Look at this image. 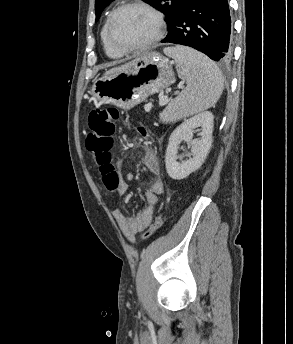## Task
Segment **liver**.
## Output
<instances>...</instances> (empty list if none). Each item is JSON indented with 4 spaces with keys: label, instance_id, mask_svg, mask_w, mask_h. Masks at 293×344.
Returning a JSON list of instances; mask_svg holds the SVG:
<instances>
[{
    "label": "liver",
    "instance_id": "liver-1",
    "mask_svg": "<svg viewBox=\"0 0 293 344\" xmlns=\"http://www.w3.org/2000/svg\"><path fill=\"white\" fill-rule=\"evenodd\" d=\"M140 58H135L134 60L128 62V63H125L121 66H118V67H115V68H112L108 71H106V73L103 75V76H106V75H111V74H114V73H117V72H120L122 70H125V69H128L130 67H132L133 65H135L138 61H139Z\"/></svg>",
    "mask_w": 293,
    "mask_h": 344
}]
</instances>
